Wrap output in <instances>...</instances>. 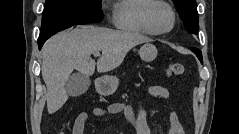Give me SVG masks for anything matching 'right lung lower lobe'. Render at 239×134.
I'll use <instances>...</instances> for the list:
<instances>
[{"label": "right lung lower lobe", "instance_id": "right-lung-lower-lobe-1", "mask_svg": "<svg viewBox=\"0 0 239 134\" xmlns=\"http://www.w3.org/2000/svg\"><path fill=\"white\" fill-rule=\"evenodd\" d=\"M52 35H49V36H46V37H43V38H38V45H39V49L42 48L44 42Z\"/></svg>", "mask_w": 239, "mask_h": 134}]
</instances>
